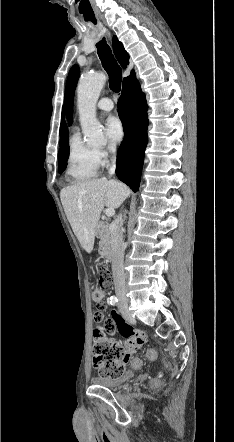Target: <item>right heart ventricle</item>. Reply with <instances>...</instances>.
Returning <instances> with one entry per match:
<instances>
[{"instance_id":"obj_1","label":"right heart ventricle","mask_w":234,"mask_h":442,"mask_svg":"<svg viewBox=\"0 0 234 442\" xmlns=\"http://www.w3.org/2000/svg\"><path fill=\"white\" fill-rule=\"evenodd\" d=\"M97 151L82 141L75 132L69 142L66 175L73 182L88 181L97 176L100 163Z\"/></svg>"}]
</instances>
